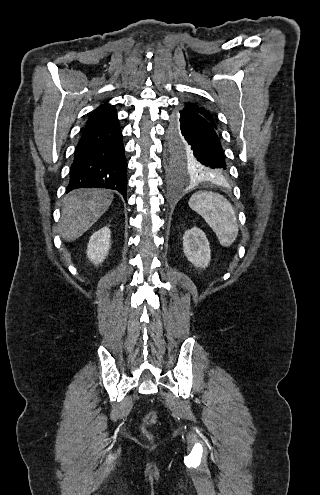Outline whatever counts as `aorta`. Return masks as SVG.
<instances>
[{"instance_id": "762f6f07", "label": "aorta", "mask_w": 320, "mask_h": 495, "mask_svg": "<svg viewBox=\"0 0 320 495\" xmlns=\"http://www.w3.org/2000/svg\"><path fill=\"white\" fill-rule=\"evenodd\" d=\"M176 185H177V187L181 188L184 185V183L178 181V182H176Z\"/></svg>"}]
</instances>
